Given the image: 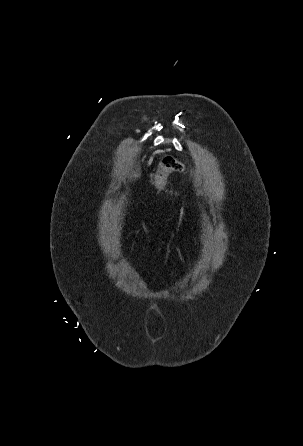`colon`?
<instances>
[{
  "mask_svg": "<svg viewBox=\"0 0 303 446\" xmlns=\"http://www.w3.org/2000/svg\"><path fill=\"white\" fill-rule=\"evenodd\" d=\"M184 169L182 163L170 155L164 156L160 161L159 169L155 175L153 186L157 191H163L167 177L170 173L181 172Z\"/></svg>",
  "mask_w": 303,
  "mask_h": 446,
  "instance_id": "1",
  "label": "colon"
}]
</instances>
